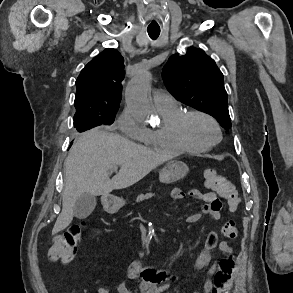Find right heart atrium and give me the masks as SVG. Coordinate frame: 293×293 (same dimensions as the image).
<instances>
[{"label":"right heart atrium","instance_id":"d8ad5b80","mask_svg":"<svg viewBox=\"0 0 293 293\" xmlns=\"http://www.w3.org/2000/svg\"><path fill=\"white\" fill-rule=\"evenodd\" d=\"M117 128L127 136L144 140L146 138L148 129L142 126L128 108H125L116 120Z\"/></svg>","mask_w":293,"mask_h":293}]
</instances>
